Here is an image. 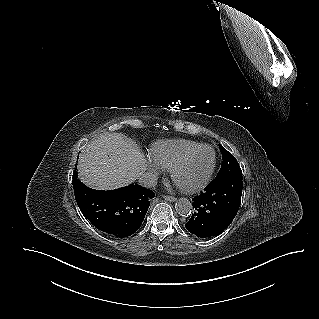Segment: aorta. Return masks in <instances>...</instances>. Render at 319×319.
<instances>
[{
    "label": "aorta",
    "mask_w": 319,
    "mask_h": 319,
    "mask_svg": "<svg viewBox=\"0 0 319 319\" xmlns=\"http://www.w3.org/2000/svg\"><path fill=\"white\" fill-rule=\"evenodd\" d=\"M176 211L181 216H189L192 212V204L187 198H180L176 203Z\"/></svg>",
    "instance_id": "aorta-1"
}]
</instances>
